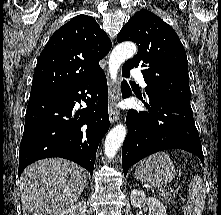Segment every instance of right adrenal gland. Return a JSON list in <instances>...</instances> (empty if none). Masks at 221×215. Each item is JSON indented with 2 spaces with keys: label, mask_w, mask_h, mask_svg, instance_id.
<instances>
[{
  "label": "right adrenal gland",
  "mask_w": 221,
  "mask_h": 215,
  "mask_svg": "<svg viewBox=\"0 0 221 215\" xmlns=\"http://www.w3.org/2000/svg\"><path fill=\"white\" fill-rule=\"evenodd\" d=\"M85 186H86V187H88V182H87V181H86V184H85Z\"/></svg>",
  "instance_id": "obj_1"
}]
</instances>
